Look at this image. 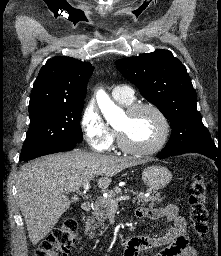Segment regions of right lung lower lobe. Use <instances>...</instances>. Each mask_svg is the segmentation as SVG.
Returning a JSON list of instances; mask_svg holds the SVG:
<instances>
[{"label":"right lung lower lobe","instance_id":"obj_1","mask_svg":"<svg viewBox=\"0 0 221 256\" xmlns=\"http://www.w3.org/2000/svg\"><path fill=\"white\" fill-rule=\"evenodd\" d=\"M76 144L77 143H74V142H60V143L48 145L30 154L29 156L23 158V160L34 159V158L47 155V154H52V153L68 151L73 149L76 146Z\"/></svg>","mask_w":221,"mask_h":256}]
</instances>
